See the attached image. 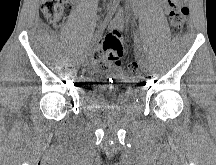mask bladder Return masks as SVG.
I'll list each match as a JSON object with an SVG mask.
<instances>
[{
    "instance_id": "obj_1",
    "label": "bladder",
    "mask_w": 216,
    "mask_h": 165,
    "mask_svg": "<svg viewBox=\"0 0 216 165\" xmlns=\"http://www.w3.org/2000/svg\"><path fill=\"white\" fill-rule=\"evenodd\" d=\"M87 86L82 94H89L94 106H104V111L120 110L130 105L137 95L133 76H127L118 71H110L108 76H89Z\"/></svg>"
}]
</instances>
